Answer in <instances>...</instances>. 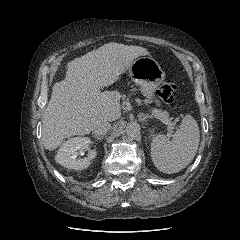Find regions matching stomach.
<instances>
[{"label": "stomach", "instance_id": "0dacf381", "mask_svg": "<svg viewBox=\"0 0 240 240\" xmlns=\"http://www.w3.org/2000/svg\"><path fill=\"white\" fill-rule=\"evenodd\" d=\"M128 74L141 87L142 95L149 100H155L159 105V100L155 98V90L165 79V72L160 64L150 56L139 57L128 68Z\"/></svg>", "mask_w": 240, "mask_h": 240}]
</instances>
